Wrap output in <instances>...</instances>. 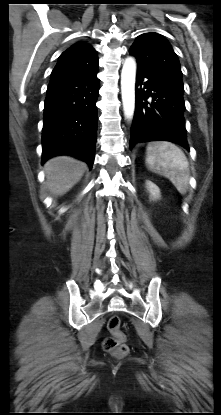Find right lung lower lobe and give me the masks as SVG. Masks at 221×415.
Segmentation results:
<instances>
[{
  "label": "right lung lower lobe",
  "mask_w": 221,
  "mask_h": 415,
  "mask_svg": "<svg viewBox=\"0 0 221 415\" xmlns=\"http://www.w3.org/2000/svg\"><path fill=\"white\" fill-rule=\"evenodd\" d=\"M98 68L51 77L44 107L42 162L71 155L92 168L95 156Z\"/></svg>",
  "instance_id": "right-lung-lower-lobe-1"
}]
</instances>
